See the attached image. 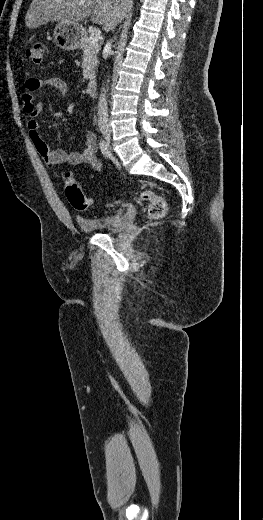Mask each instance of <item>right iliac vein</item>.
Returning <instances> with one entry per match:
<instances>
[{
  "label": "right iliac vein",
  "instance_id": "obj_1",
  "mask_svg": "<svg viewBox=\"0 0 263 520\" xmlns=\"http://www.w3.org/2000/svg\"><path fill=\"white\" fill-rule=\"evenodd\" d=\"M102 134L105 139L106 145L109 146L110 145V133L108 131H103Z\"/></svg>",
  "mask_w": 263,
  "mask_h": 520
}]
</instances>
